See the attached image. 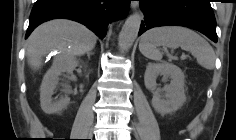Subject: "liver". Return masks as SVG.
<instances>
[{
	"label": "liver",
	"mask_w": 236,
	"mask_h": 140,
	"mask_svg": "<svg viewBox=\"0 0 236 140\" xmlns=\"http://www.w3.org/2000/svg\"><path fill=\"white\" fill-rule=\"evenodd\" d=\"M96 35L84 25L56 19L43 23L30 35L26 49L28 63L33 69L42 66V59L52 50H59L56 61L73 58L91 51Z\"/></svg>",
	"instance_id": "6515ba94"
}]
</instances>
